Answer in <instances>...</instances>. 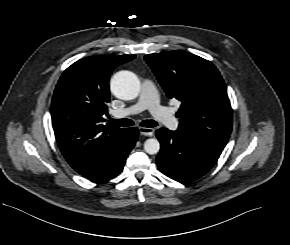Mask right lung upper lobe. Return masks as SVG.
Instances as JSON below:
<instances>
[{
  "mask_svg": "<svg viewBox=\"0 0 290 245\" xmlns=\"http://www.w3.org/2000/svg\"><path fill=\"white\" fill-rule=\"evenodd\" d=\"M134 55L92 56L78 60L60 77L51 104L57 144L82 176L106 166L127 144V128L107 123L109 78Z\"/></svg>",
  "mask_w": 290,
  "mask_h": 245,
  "instance_id": "1",
  "label": "right lung upper lobe"
}]
</instances>
